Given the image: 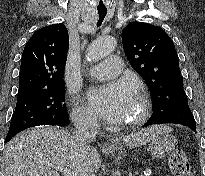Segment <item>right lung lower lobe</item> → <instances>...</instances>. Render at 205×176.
<instances>
[{"instance_id":"right-lung-lower-lobe-1","label":"right lung lower lobe","mask_w":205,"mask_h":176,"mask_svg":"<svg viewBox=\"0 0 205 176\" xmlns=\"http://www.w3.org/2000/svg\"><path fill=\"white\" fill-rule=\"evenodd\" d=\"M52 125H54V124H52ZM55 126H57V125H55ZM5 142H8V141L5 140Z\"/></svg>"}]
</instances>
